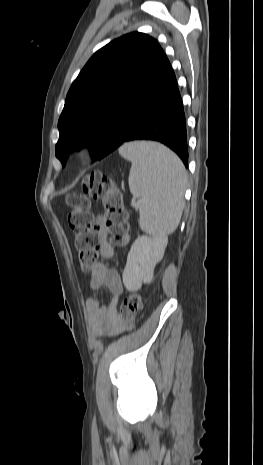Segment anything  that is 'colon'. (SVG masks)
<instances>
[{"label":"colon","mask_w":263,"mask_h":465,"mask_svg":"<svg viewBox=\"0 0 263 465\" xmlns=\"http://www.w3.org/2000/svg\"><path fill=\"white\" fill-rule=\"evenodd\" d=\"M91 199L103 203L105 213L98 219H95L89 211ZM66 202L70 207L68 224L75 235V248L82 271L90 272L98 259L99 239L96 234L98 220L107 228L116 245L127 244L128 214L121 192L110 177L100 172L88 174L82 181V191L70 193ZM141 307V296L136 293L129 294L123 300L117 314L118 325H126L127 322L134 320Z\"/></svg>","instance_id":"obj_1"}]
</instances>
